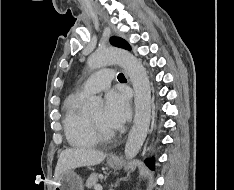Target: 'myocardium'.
Returning <instances> with one entry per match:
<instances>
[{
  "label": "myocardium",
  "instance_id": "myocardium-1",
  "mask_svg": "<svg viewBox=\"0 0 234 190\" xmlns=\"http://www.w3.org/2000/svg\"><path fill=\"white\" fill-rule=\"evenodd\" d=\"M89 122L92 126V129L100 140H109L115 136V132L111 129H108L95 121L91 116H88Z\"/></svg>",
  "mask_w": 234,
  "mask_h": 190
}]
</instances>
